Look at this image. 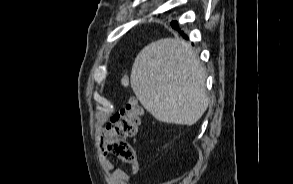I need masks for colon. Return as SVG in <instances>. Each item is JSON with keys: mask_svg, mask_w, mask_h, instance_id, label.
Returning <instances> with one entry per match:
<instances>
[{"mask_svg": "<svg viewBox=\"0 0 293 184\" xmlns=\"http://www.w3.org/2000/svg\"><path fill=\"white\" fill-rule=\"evenodd\" d=\"M122 82L125 86L128 85L126 76L123 77ZM142 114L141 105L134 97H131L126 105L113 115L101 144L105 155L113 156L131 165L137 162L134 148L128 139L137 133Z\"/></svg>", "mask_w": 293, "mask_h": 184, "instance_id": "colon-1", "label": "colon"}]
</instances>
